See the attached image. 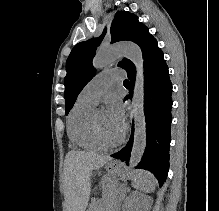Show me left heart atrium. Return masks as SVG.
<instances>
[{
	"label": "left heart atrium",
	"instance_id": "39dd6f15",
	"mask_svg": "<svg viewBox=\"0 0 219 211\" xmlns=\"http://www.w3.org/2000/svg\"><path fill=\"white\" fill-rule=\"evenodd\" d=\"M106 113L111 125L118 131H123L126 125L125 109L118 97L108 98Z\"/></svg>",
	"mask_w": 219,
	"mask_h": 211
}]
</instances>
